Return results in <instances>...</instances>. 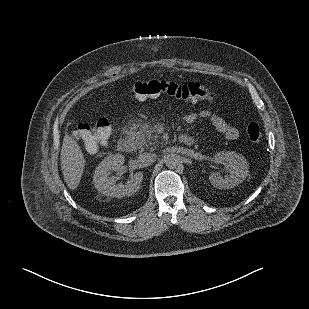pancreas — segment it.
<instances>
[{
    "label": "pancreas",
    "instance_id": "pancreas-1",
    "mask_svg": "<svg viewBox=\"0 0 309 309\" xmlns=\"http://www.w3.org/2000/svg\"><path fill=\"white\" fill-rule=\"evenodd\" d=\"M133 136L140 143L147 145H156L158 143V135L155 133L154 129L150 127L149 129H140L138 132H134Z\"/></svg>",
    "mask_w": 309,
    "mask_h": 309
}]
</instances>
